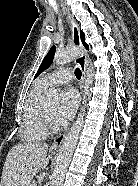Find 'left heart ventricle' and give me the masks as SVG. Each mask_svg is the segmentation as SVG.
<instances>
[{"mask_svg": "<svg viewBox=\"0 0 138 186\" xmlns=\"http://www.w3.org/2000/svg\"><path fill=\"white\" fill-rule=\"evenodd\" d=\"M47 111H48L49 117L51 118L52 122L54 124H56L55 123V113L57 111V106H55V105L47 106Z\"/></svg>", "mask_w": 138, "mask_h": 186, "instance_id": "1", "label": "left heart ventricle"}]
</instances>
